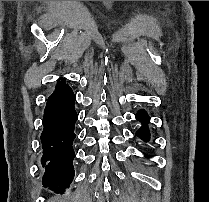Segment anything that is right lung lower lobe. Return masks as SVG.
I'll return each mask as SVG.
<instances>
[{
  "label": "right lung lower lobe",
  "mask_w": 209,
  "mask_h": 202,
  "mask_svg": "<svg viewBox=\"0 0 209 202\" xmlns=\"http://www.w3.org/2000/svg\"><path fill=\"white\" fill-rule=\"evenodd\" d=\"M75 99L72 89L62 79L47 99L43 116L41 163L45 174L42 184L60 194L69 187L74 177L75 153L72 144L76 138L74 127L78 119Z\"/></svg>",
  "instance_id": "1"
}]
</instances>
